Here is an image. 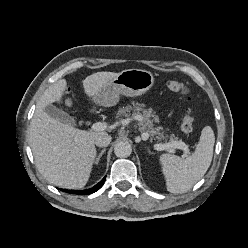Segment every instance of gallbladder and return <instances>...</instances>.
Returning <instances> with one entry per match:
<instances>
[{"mask_svg":"<svg viewBox=\"0 0 248 248\" xmlns=\"http://www.w3.org/2000/svg\"><path fill=\"white\" fill-rule=\"evenodd\" d=\"M45 112L52 118H55L59 121L74 125L75 120L70 117L68 114H66L63 110L53 106V105H48L45 108Z\"/></svg>","mask_w":248,"mask_h":248,"instance_id":"obj_1","label":"gallbladder"}]
</instances>
